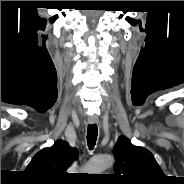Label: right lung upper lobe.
Masks as SVG:
<instances>
[{
  "label": "right lung upper lobe",
  "mask_w": 184,
  "mask_h": 184,
  "mask_svg": "<svg viewBox=\"0 0 184 184\" xmlns=\"http://www.w3.org/2000/svg\"><path fill=\"white\" fill-rule=\"evenodd\" d=\"M76 149L57 140L52 147L39 151L26 168L32 180L40 184H62L67 181V168L77 158Z\"/></svg>",
  "instance_id": "right-lung-upper-lobe-1"
}]
</instances>
